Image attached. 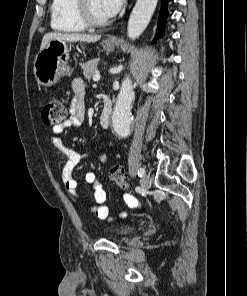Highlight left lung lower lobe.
Instances as JSON below:
<instances>
[{
  "instance_id": "0a47b994",
  "label": "left lung lower lobe",
  "mask_w": 247,
  "mask_h": 296,
  "mask_svg": "<svg viewBox=\"0 0 247 296\" xmlns=\"http://www.w3.org/2000/svg\"><path fill=\"white\" fill-rule=\"evenodd\" d=\"M169 0H162V5H161V10H160V15L158 19V29H157V36L155 40L164 34L163 26L165 25L166 18L168 16V11H167V3Z\"/></svg>"
}]
</instances>
